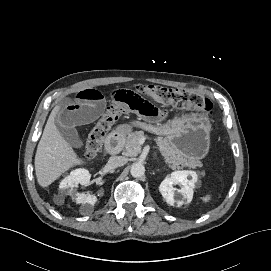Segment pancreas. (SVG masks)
I'll return each instance as SVG.
<instances>
[{"instance_id": "1", "label": "pancreas", "mask_w": 271, "mask_h": 271, "mask_svg": "<svg viewBox=\"0 0 271 271\" xmlns=\"http://www.w3.org/2000/svg\"><path fill=\"white\" fill-rule=\"evenodd\" d=\"M142 137H146L143 131H135L130 133L123 147V155L125 156H136L141 151V145L139 140ZM158 149L163 156L164 162L168 164L171 169H181L185 166L188 167H201L202 164L198 160H187L177 149H175L167 139L163 137H157L155 139Z\"/></svg>"}]
</instances>
